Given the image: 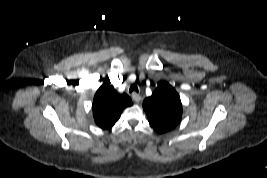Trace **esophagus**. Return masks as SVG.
<instances>
[{"mask_svg":"<svg viewBox=\"0 0 267 178\" xmlns=\"http://www.w3.org/2000/svg\"><path fill=\"white\" fill-rule=\"evenodd\" d=\"M132 98L136 103H139L141 101V96L137 93H133Z\"/></svg>","mask_w":267,"mask_h":178,"instance_id":"34e87169","label":"esophagus"}]
</instances>
